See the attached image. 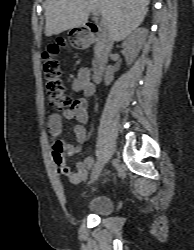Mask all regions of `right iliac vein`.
Segmentation results:
<instances>
[{
	"label": "right iliac vein",
	"mask_w": 194,
	"mask_h": 250,
	"mask_svg": "<svg viewBox=\"0 0 194 250\" xmlns=\"http://www.w3.org/2000/svg\"><path fill=\"white\" fill-rule=\"evenodd\" d=\"M102 169H103V162L99 161L93 170L91 181H90L91 183L95 182L99 178L102 172Z\"/></svg>",
	"instance_id": "63e3f726"
}]
</instances>
